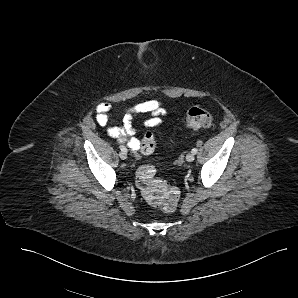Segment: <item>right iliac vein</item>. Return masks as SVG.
<instances>
[{"mask_svg": "<svg viewBox=\"0 0 298 298\" xmlns=\"http://www.w3.org/2000/svg\"><path fill=\"white\" fill-rule=\"evenodd\" d=\"M119 156H120L121 159L124 160V159L127 158V152L121 151V152L119 153Z\"/></svg>", "mask_w": 298, "mask_h": 298, "instance_id": "1", "label": "right iliac vein"}]
</instances>
